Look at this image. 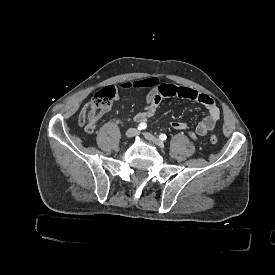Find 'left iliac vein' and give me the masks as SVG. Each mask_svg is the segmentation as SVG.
I'll use <instances>...</instances> for the list:
<instances>
[{"label": "left iliac vein", "mask_w": 275, "mask_h": 275, "mask_svg": "<svg viewBox=\"0 0 275 275\" xmlns=\"http://www.w3.org/2000/svg\"><path fill=\"white\" fill-rule=\"evenodd\" d=\"M144 137H145L148 141H150V142L154 143L155 145L159 146L160 148H163V147H164L163 141H162L161 139L155 137V136L152 135L151 133H149V132H144Z\"/></svg>", "instance_id": "obj_1"}]
</instances>
